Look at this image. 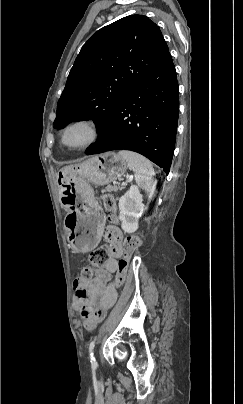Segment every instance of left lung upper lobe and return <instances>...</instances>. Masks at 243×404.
Listing matches in <instances>:
<instances>
[{"instance_id": "left-lung-upper-lobe-1", "label": "left lung upper lobe", "mask_w": 243, "mask_h": 404, "mask_svg": "<svg viewBox=\"0 0 243 404\" xmlns=\"http://www.w3.org/2000/svg\"><path fill=\"white\" fill-rule=\"evenodd\" d=\"M170 55L159 27L130 15L98 30L81 48L57 103L54 128L93 120L98 131L128 93Z\"/></svg>"}]
</instances>
